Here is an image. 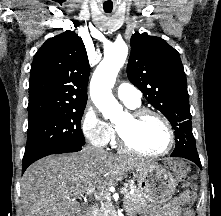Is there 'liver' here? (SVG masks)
Segmentation results:
<instances>
[{
    "mask_svg": "<svg viewBox=\"0 0 221 216\" xmlns=\"http://www.w3.org/2000/svg\"><path fill=\"white\" fill-rule=\"evenodd\" d=\"M147 165L150 162L87 149L42 158L22 177L25 216H82L78 199L87 190H104Z\"/></svg>",
    "mask_w": 221,
    "mask_h": 216,
    "instance_id": "6515ba94",
    "label": "liver"
}]
</instances>
